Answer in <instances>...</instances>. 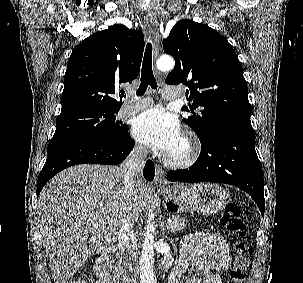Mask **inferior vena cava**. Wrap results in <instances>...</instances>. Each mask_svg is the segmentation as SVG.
Wrapping results in <instances>:
<instances>
[{"label":"inferior vena cava","mask_w":303,"mask_h":283,"mask_svg":"<svg viewBox=\"0 0 303 283\" xmlns=\"http://www.w3.org/2000/svg\"><path fill=\"white\" fill-rule=\"evenodd\" d=\"M147 154L148 151L146 148L137 146L131 151L120 167L124 173L123 184L125 187L126 203L122 224L118 232V241L124 255L126 283H140L136 247L130 244L131 236L134 234V222L129 219L128 214L132 209L133 184L135 179L142 176Z\"/></svg>","instance_id":"1"}]
</instances>
